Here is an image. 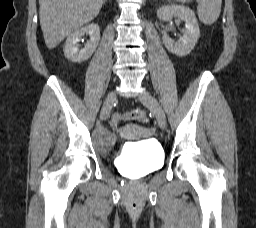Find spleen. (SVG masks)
<instances>
[{
	"mask_svg": "<svg viewBox=\"0 0 256 228\" xmlns=\"http://www.w3.org/2000/svg\"><path fill=\"white\" fill-rule=\"evenodd\" d=\"M196 1L198 2L197 13L200 21L205 25H211L215 23L221 12L222 0Z\"/></svg>",
	"mask_w": 256,
	"mask_h": 228,
	"instance_id": "1",
	"label": "spleen"
}]
</instances>
